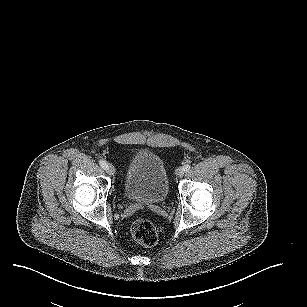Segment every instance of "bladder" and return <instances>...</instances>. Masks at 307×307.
Wrapping results in <instances>:
<instances>
[{
	"mask_svg": "<svg viewBox=\"0 0 307 307\" xmlns=\"http://www.w3.org/2000/svg\"><path fill=\"white\" fill-rule=\"evenodd\" d=\"M122 187L125 197L135 202H164L169 186L167 170L161 157L151 151L134 154L128 163Z\"/></svg>",
	"mask_w": 307,
	"mask_h": 307,
	"instance_id": "31cf9c89",
	"label": "bladder"
}]
</instances>
